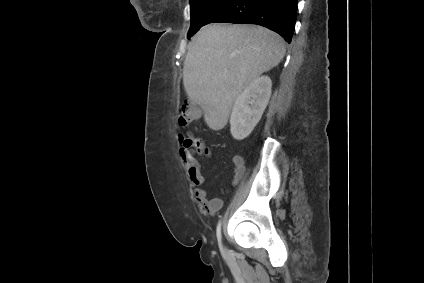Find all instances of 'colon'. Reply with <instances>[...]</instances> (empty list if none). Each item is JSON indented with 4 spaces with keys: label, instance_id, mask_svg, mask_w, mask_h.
I'll return each instance as SVG.
<instances>
[{
    "label": "colon",
    "instance_id": "5ec220e1",
    "mask_svg": "<svg viewBox=\"0 0 424 283\" xmlns=\"http://www.w3.org/2000/svg\"><path fill=\"white\" fill-rule=\"evenodd\" d=\"M198 109L192 102H186L184 103L180 110H179V116H178V126L185 127L189 125L191 122H193L197 116H198ZM189 143H191V140H188ZM195 146L198 148V150L203 151L205 153L208 152V149L204 148L201 143L195 141Z\"/></svg>",
    "mask_w": 424,
    "mask_h": 283
}]
</instances>
